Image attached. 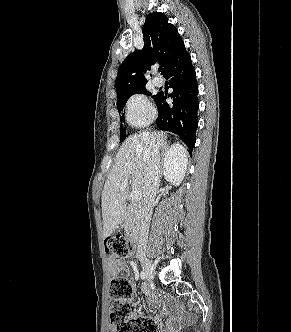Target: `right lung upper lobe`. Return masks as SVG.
<instances>
[{
  "mask_svg": "<svg viewBox=\"0 0 291 332\" xmlns=\"http://www.w3.org/2000/svg\"><path fill=\"white\" fill-rule=\"evenodd\" d=\"M144 47L142 51L132 52L118 70L115 81L117 100L134 90L144 87L147 79L142 74L145 66L159 62L162 74L189 57L177 29L163 13L153 12L146 17L142 28ZM150 69V68H148Z\"/></svg>",
  "mask_w": 291,
  "mask_h": 332,
  "instance_id": "right-lung-upper-lobe-1",
  "label": "right lung upper lobe"
}]
</instances>
